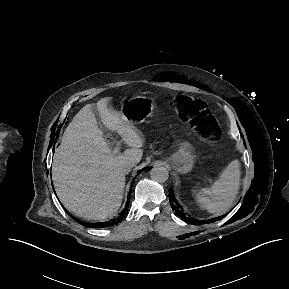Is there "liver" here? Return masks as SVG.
I'll list each match as a JSON object with an SVG mask.
<instances>
[{"mask_svg":"<svg viewBox=\"0 0 289 289\" xmlns=\"http://www.w3.org/2000/svg\"><path fill=\"white\" fill-rule=\"evenodd\" d=\"M108 104V98L96 103L100 120L130 149L113 154L98 126L94 105L87 104L66 128L53 157L52 180L59 200L69 212L87 220L101 221L118 212L125 186L122 166L139 163L143 155L138 131Z\"/></svg>","mask_w":289,"mask_h":289,"instance_id":"6515ba94","label":"liver"}]
</instances>
